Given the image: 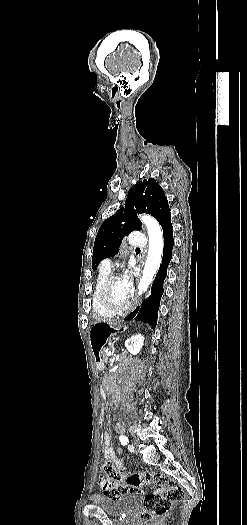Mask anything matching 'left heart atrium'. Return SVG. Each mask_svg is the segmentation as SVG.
<instances>
[{"instance_id":"1","label":"left heart atrium","mask_w":247,"mask_h":525,"mask_svg":"<svg viewBox=\"0 0 247 525\" xmlns=\"http://www.w3.org/2000/svg\"><path fill=\"white\" fill-rule=\"evenodd\" d=\"M121 287L123 292L129 295L132 288V279L129 276H125L124 278H122Z\"/></svg>"}]
</instances>
